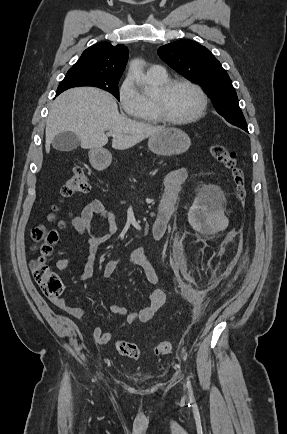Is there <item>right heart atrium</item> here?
Listing matches in <instances>:
<instances>
[{"label": "right heart atrium", "instance_id": "d8ad5b80", "mask_svg": "<svg viewBox=\"0 0 287 434\" xmlns=\"http://www.w3.org/2000/svg\"><path fill=\"white\" fill-rule=\"evenodd\" d=\"M118 98L122 109L130 116H136L145 105V97L131 76H127L121 83Z\"/></svg>", "mask_w": 287, "mask_h": 434}]
</instances>
